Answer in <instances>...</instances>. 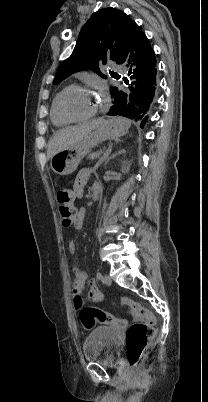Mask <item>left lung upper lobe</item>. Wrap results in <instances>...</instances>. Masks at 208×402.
Instances as JSON below:
<instances>
[{"label":"left lung upper lobe","instance_id":"left-lung-upper-lobe-1","mask_svg":"<svg viewBox=\"0 0 208 402\" xmlns=\"http://www.w3.org/2000/svg\"><path fill=\"white\" fill-rule=\"evenodd\" d=\"M133 23L127 14L115 8L94 13L82 27L71 56L60 65L54 84L84 69H92L106 78L100 67L108 60L118 62Z\"/></svg>","mask_w":208,"mask_h":402}]
</instances>
